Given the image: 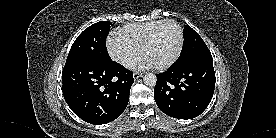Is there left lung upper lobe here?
Masks as SVG:
<instances>
[{
  "label": "left lung upper lobe",
  "mask_w": 276,
  "mask_h": 138,
  "mask_svg": "<svg viewBox=\"0 0 276 138\" xmlns=\"http://www.w3.org/2000/svg\"><path fill=\"white\" fill-rule=\"evenodd\" d=\"M184 40L180 58L172 66L180 67L204 57H211V53L203 39L189 25H186L184 29Z\"/></svg>",
  "instance_id": "5c2ea615"
}]
</instances>
